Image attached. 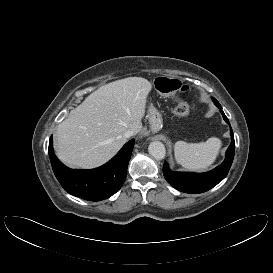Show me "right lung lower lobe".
<instances>
[{"instance_id": "obj_1", "label": "right lung lower lobe", "mask_w": 273, "mask_h": 273, "mask_svg": "<svg viewBox=\"0 0 273 273\" xmlns=\"http://www.w3.org/2000/svg\"><path fill=\"white\" fill-rule=\"evenodd\" d=\"M134 143L132 139L109 162L91 170H73L62 164L52 150V136L48 153L56 178L69 194L100 201L115 194L123 185Z\"/></svg>"}]
</instances>
